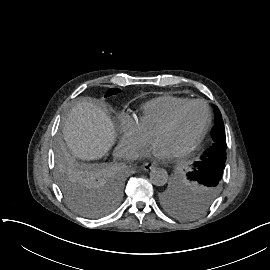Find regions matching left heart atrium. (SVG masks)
<instances>
[{"label":"left heart atrium","mask_w":270,"mask_h":270,"mask_svg":"<svg viewBox=\"0 0 270 270\" xmlns=\"http://www.w3.org/2000/svg\"><path fill=\"white\" fill-rule=\"evenodd\" d=\"M176 155L175 151L166 143L156 140L148 150L142 154V158L153 162H164L172 159Z\"/></svg>","instance_id":"obj_1"}]
</instances>
